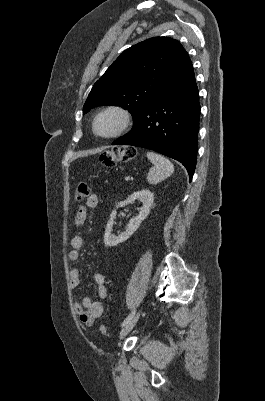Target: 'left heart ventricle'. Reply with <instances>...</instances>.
<instances>
[{"mask_svg":"<svg viewBox=\"0 0 265 401\" xmlns=\"http://www.w3.org/2000/svg\"><path fill=\"white\" fill-rule=\"evenodd\" d=\"M119 120L114 114H106L99 118L96 124V130L100 135H109L118 127Z\"/></svg>","mask_w":265,"mask_h":401,"instance_id":"obj_1","label":"left heart ventricle"}]
</instances>
